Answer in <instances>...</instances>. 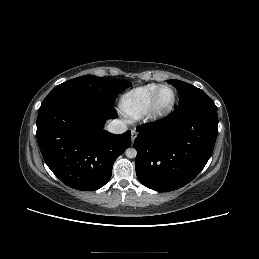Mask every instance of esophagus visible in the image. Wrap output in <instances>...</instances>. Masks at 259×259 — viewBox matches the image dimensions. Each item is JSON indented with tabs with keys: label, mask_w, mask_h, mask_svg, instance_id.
Segmentation results:
<instances>
[{
	"label": "esophagus",
	"mask_w": 259,
	"mask_h": 259,
	"mask_svg": "<svg viewBox=\"0 0 259 259\" xmlns=\"http://www.w3.org/2000/svg\"><path fill=\"white\" fill-rule=\"evenodd\" d=\"M136 137H137V131L136 130H132L131 131V140H132V142H134Z\"/></svg>",
	"instance_id": "34e87169"
}]
</instances>
